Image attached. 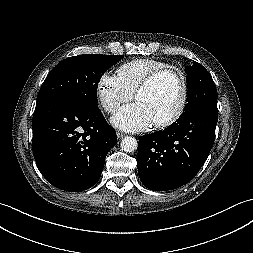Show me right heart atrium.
I'll return each mask as SVG.
<instances>
[{"label":"right heart atrium","instance_id":"right-heart-atrium-1","mask_svg":"<svg viewBox=\"0 0 253 253\" xmlns=\"http://www.w3.org/2000/svg\"><path fill=\"white\" fill-rule=\"evenodd\" d=\"M101 106L107 113H114L122 104L129 102L133 94L119 81L117 76L103 74L97 83Z\"/></svg>","mask_w":253,"mask_h":253}]
</instances>
